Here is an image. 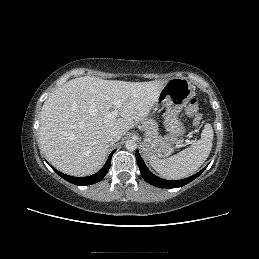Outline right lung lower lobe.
I'll return each mask as SVG.
<instances>
[{
    "instance_id": "obj_1",
    "label": "right lung lower lobe",
    "mask_w": 259,
    "mask_h": 259,
    "mask_svg": "<svg viewBox=\"0 0 259 259\" xmlns=\"http://www.w3.org/2000/svg\"><path fill=\"white\" fill-rule=\"evenodd\" d=\"M114 152H115V150L109 155L108 160L106 161L104 167L99 172H97L96 174L89 176V177H72V176L59 172L58 170L54 169L53 167L52 168L59 176H61L68 182H71L75 185L84 186V185L94 184V183L101 181L104 178V176L106 175V173L108 172V170L110 168V164H111V158H112V155Z\"/></svg>"
}]
</instances>
